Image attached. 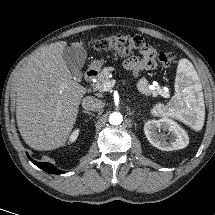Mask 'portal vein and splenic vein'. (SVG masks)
Segmentation results:
<instances>
[{"instance_id":"18ae733b","label":"portal vein and splenic vein","mask_w":215,"mask_h":215,"mask_svg":"<svg viewBox=\"0 0 215 215\" xmlns=\"http://www.w3.org/2000/svg\"><path fill=\"white\" fill-rule=\"evenodd\" d=\"M116 84V80H110L108 82L103 83L102 90L109 91Z\"/></svg>"}]
</instances>
